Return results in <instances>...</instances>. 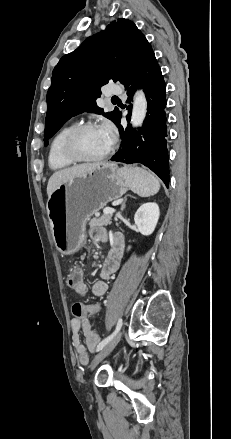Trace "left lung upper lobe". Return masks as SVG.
<instances>
[{
	"label": "left lung upper lobe",
	"instance_id": "obj_1",
	"mask_svg": "<svg viewBox=\"0 0 231 439\" xmlns=\"http://www.w3.org/2000/svg\"><path fill=\"white\" fill-rule=\"evenodd\" d=\"M148 47L132 21L118 19L63 56L52 72L47 92L44 145L68 119L84 111L103 114L115 123L120 111L104 113L96 104L100 87L109 80L124 84Z\"/></svg>",
	"mask_w": 231,
	"mask_h": 439
}]
</instances>
